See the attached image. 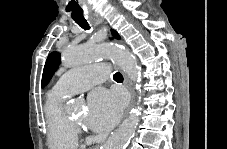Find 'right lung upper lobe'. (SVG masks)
Returning a JSON list of instances; mask_svg holds the SVG:
<instances>
[{
    "label": "right lung upper lobe",
    "mask_w": 227,
    "mask_h": 149,
    "mask_svg": "<svg viewBox=\"0 0 227 149\" xmlns=\"http://www.w3.org/2000/svg\"><path fill=\"white\" fill-rule=\"evenodd\" d=\"M112 34H113L116 38H119V35L117 34V32H115V31L112 30Z\"/></svg>",
    "instance_id": "cb5924a9"
}]
</instances>
